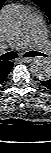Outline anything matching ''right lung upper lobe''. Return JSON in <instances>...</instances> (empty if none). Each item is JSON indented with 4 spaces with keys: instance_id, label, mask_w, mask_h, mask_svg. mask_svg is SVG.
<instances>
[{
    "instance_id": "obj_1",
    "label": "right lung upper lobe",
    "mask_w": 51,
    "mask_h": 153,
    "mask_svg": "<svg viewBox=\"0 0 51 153\" xmlns=\"http://www.w3.org/2000/svg\"><path fill=\"white\" fill-rule=\"evenodd\" d=\"M6 0H0V8L2 7L3 3L5 2ZM9 62H2L0 61V74L1 72L7 67Z\"/></svg>"
}]
</instances>
